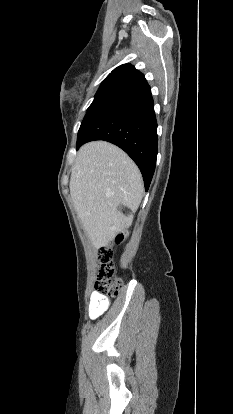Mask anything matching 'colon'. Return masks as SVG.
Masks as SVG:
<instances>
[{
    "label": "colon",
    "mask_w": 233,
    "mask_h": 414,
    "mask_svg": "<svg viewBox=\"0 0 233 414\" xmlns=\"http://www.w3.org/2000/svg\"><path fill=\"white\" fill-rule=\"evenodd\" d=\"M126 236L125 232H120L116 235L113 242H110L108 246L104 247L100 251L101 268L98 274V278L95 284L97 292L108 295L111 297L117 296L122 288V280L114 276V267L112 265V244L121 243Z\"/></svg>",
    "instance_id": "obj_1"
}]
</instances>
